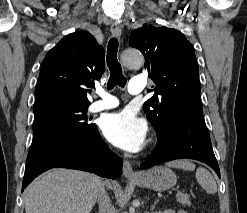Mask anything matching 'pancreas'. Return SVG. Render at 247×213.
<instances>
[{"label":"pancreas","mask_w":247,"mask_h":213,"mask_svg":"<svg viewBox=\"0 0 247 213\" xmlns=\"http://www.w3.org/2000/svg\"><path fill=\"white\" fill-rule=\"evenodd\" d=\"M177 198V201L182 204V205H188L190 206L191 205V202L189 200V196L187 194H181V195H178L176 196Z\"/></svg>","instance_id":"1"}]
</instances>
